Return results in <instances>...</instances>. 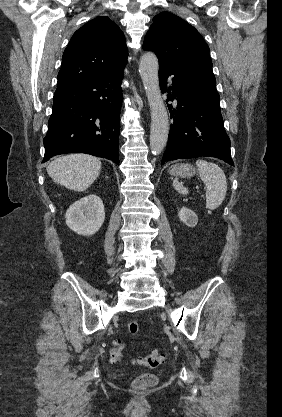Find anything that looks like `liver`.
I'll list each match as a JSON object with an SVG mask.
<instances>
[{
    "label": "liver",
    "instance_id": "6515ba94",
    "mask_svg": "<svg viewBox=\"0 0 282 417\" xmlns=\"http://www.w3.org/2000/svg\"><path fill=\"white\" fill-rule=\"evenodd\" d=\"M101 160L91 154H66L55 158L46 166L53 182L71 190H86L101 170Z\"/></svg>",
    "mask_w": 282,
    "mask_h": 417
}]
</instances>
